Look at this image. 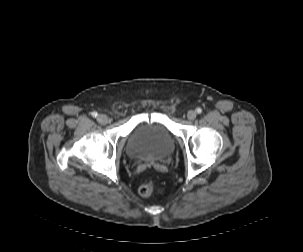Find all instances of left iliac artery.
Returning a JSON list of instances; mask_svg holds the SVG:
<instances>
[{
	"instance_id": "44dca946",
	"label": "left iliac artery",
	"mask_w": 303,
	"mask_h": 252,
	"mask_svg": "<svg viewBox=\"0 0 303 252\" xmlns=\"http://www.w3.org/2000/svg\"><path fill=\"white\" fill-rule=\"evenodd\" d=\"M196 112H197L198 114H200V113L202 112V109H201V108H197V109H196Z\"/></svg>"
}]
</instances>
